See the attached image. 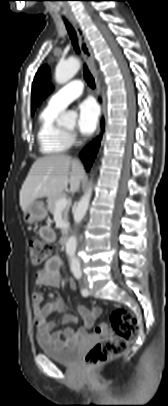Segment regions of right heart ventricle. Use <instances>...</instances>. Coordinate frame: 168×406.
<instances>
[{
    "instance_id": "e07e8e85",
    "label": "right heart ventricle",
    "mask_w": 168,
    "mask_h": 406,
    "mask_svg": "<svg viewBox=\"0 0 168 406\" xmlns=\"http://www.w3.org/2000/svg\"><path fill=\"white\" fill-rule=\"evenodd\" d=\"M61 111L47 105L39 115L37 140L43 154L65 152L72 144L70 135L57 123Z\"/></svg>"
}]
</instances>
